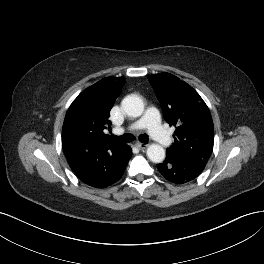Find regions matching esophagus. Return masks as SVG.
Listing matches in <instances>:
<instances>
[{
	"mask_svg": "<svg viewBox=\"0 0 264 264\" xmlns=\"http://www.w3.org/2000/svg\"><path fill=\"white\" fill-rule=\"evenodd\" d=\"M135 146L141 150L146 149L148 147V144L136 142Z\"/></svg>",
	"mask_w": 264,
	"mask_h": 264,
	"instance_id": "34e87169",
	"label": "esophagus"
}]
</instances>
